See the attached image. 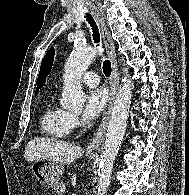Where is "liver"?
<instances>
[{
	"instance_id": "1",
	"label": "liver",
	"mask_w": 189,
	"mask_h": 195,
	"mask_svg": "<svg viewBox=\"0 0 189 195\" xmlns=\"http://www.w3.org/2000/svg\"><path fill=\"white\" fill-rule=\"evenodd\" d=\"M84 150L71 143L52 138H34L28 142L24 158L27 161L49 159L65 165L80 158Z\"/></svg>"
}]
</instances>
